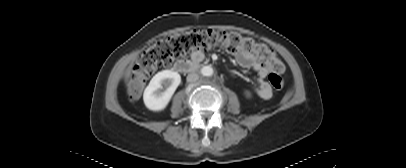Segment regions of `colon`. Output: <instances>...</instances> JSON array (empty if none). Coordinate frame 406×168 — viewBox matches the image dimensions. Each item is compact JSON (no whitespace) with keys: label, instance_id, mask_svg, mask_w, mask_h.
Masks as SVG:
<instances>
[{"label":"colon","instance_id":"5ec220e1","mask_svg":"<svg viewBox=\"0 0 406 168\" xmlns=\"http://www.w3.org/2000/svg\"><path fill=\"white\" fill-rule=\"evenodd\" d=\"M216 46L230 53L254 54L263 59L271 67L268 77L271 86L276 90L283 88L284 65L268 45L237 32L191 29L160 39L137 58L125 77L129 99L140 97L147 79L157 70L169 67L177 59Z\"/></svg>","mask_w":406,"mask_h":168}]
</instances>
